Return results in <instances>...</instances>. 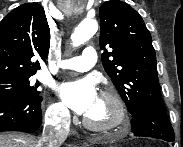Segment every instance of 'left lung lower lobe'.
<instances>
[{
  "mask_svg": "<svg viewBox=\"0 0 183 147\" xmlns=\"http://www.w3.org/2000/svg\"><path fill=\"white\" fill-rule=\"evenodd\" d=\"M132 132L136 136L174 141V131L165 109L144 108L132 114Z\"/></svg>",
  "mask_w": 183,
  "mask_h": 147,
  "instance_id": "0a47b994",
  "label": "left lung lower lobe"
}]
</instances>
